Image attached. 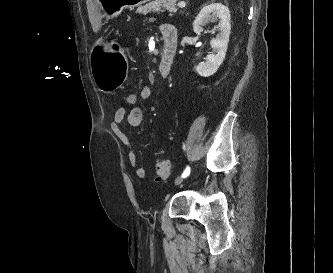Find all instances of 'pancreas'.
Here are the masks:
<instances>
[{
    "label": "pancreas",
    "instance_id": "cf45deb5",
    "mask_svg": "<svg viewBox=\"0 0 333 273\" xmlns=\"http://www.w3.org/2000/svg\"><path fill=\"white\" fill-rule=\"evenodd\" d=\"M176 2L177 0H155L141 6L137 12L146 15L149 12H161L162 9H166L169 12L175 13L177 11V8L175 7Z\"/></svg>",
    "mask_w": 333,
    "mask_h": 273
}]
</instances>
